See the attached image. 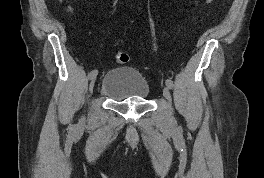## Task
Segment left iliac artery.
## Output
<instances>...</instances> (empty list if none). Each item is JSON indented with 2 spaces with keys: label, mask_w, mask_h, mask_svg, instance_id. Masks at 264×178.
<instances>
[{
  "label": "left iliac artery",
  "mask_w": 264,
  "mask_h": 178,
  "mask_svg": "<svg viewBox=\"0 0 264 178\" xmlns=\"http://www.w3.org/2000/svg\"><path fill=\"white\" fill-rule=\"evenodd\" d=\"M166 85L168 86V88L172 89L174 84L173 81L171 79H167L166 80Z\"/></svg>",
  "instance_id": "obj_1"
}]
</instances>
